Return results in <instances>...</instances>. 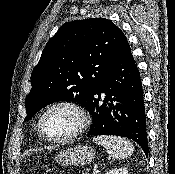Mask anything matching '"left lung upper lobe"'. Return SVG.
<instances>
[{"mask_svg":"<svg viewBox=\"0 0 175 174\" xmlns=\"http://www.w3.org/2000/svg\"><path fill=\"white\" fill-rule=\"evenodd\" d=\"M128 45L124 33L105 18L65 23L32 71L24 121L56 101H75L87 107L94 88Z\"/></svg>","mask_w":175,"mask_h":174,"instance_id":"left-lung-upper-lobe-1","label":"left lung upper lobe"}]
</instances>
